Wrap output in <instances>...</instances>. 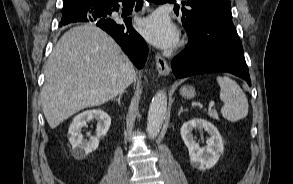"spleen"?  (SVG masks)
Here are the masks:
<instances>
[{"instance_id": "spleen-1", "label": "spleen", "mask_w": 293, "mask_h": 184, "mask_svg": "<svg viewBox=\"0 0 293 184\" xmlns=\"http://www.w3.org/2000/svg\"><path fill=\"white\" fill-rule=\"evenodd\" d=\"M216 79L220 86V99L224 103L221 108L222 116L231 122L245 118L248 114L249 105L241 87L227 76H218Z\"/></svg>"}]
</instances>
